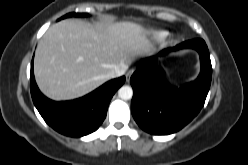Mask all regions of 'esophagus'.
I'll use <instances>...</instances> for the list:
<instances>
[{
    "instance_id": "1",
    "label": "esophagus",
    "mask_w": 248,
    "mask_h": 165,
    "mask_svg": "<svg viewBox=\"0 0 248 165\" xmlns=\"http://www.w3.org/2000/svg\"><path fill=\"white\" fill-rule=\"evenodd\" d=\"M134 70H129L126 73V81L129 82L131 75L133 74Z\"/></svg>"
}]
</instances>
